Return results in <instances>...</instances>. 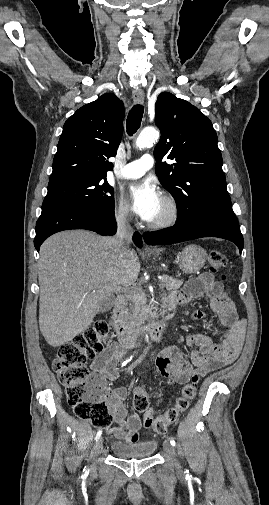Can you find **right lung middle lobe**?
<instances>
[{
    "label": "right lung middle lobe",
    "instance_id": "obj_1",
    "mask_svg": "<svg viewBox=\"0 0 269 505\" xmlns=\"http://www.w3.org/2000/svg\"><path fill=\"white\" fill-rule=\"evenodd\" d=\"M63 204L82 207L109 218L114 214V190L106 179L86 180L48 188L42 209Z\"/></svg>",
    "mask_w": 269,
    "mask_h": 505
}]
</instances>
